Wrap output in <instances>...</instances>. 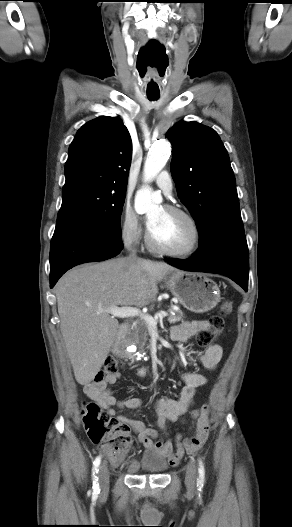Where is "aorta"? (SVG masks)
<instances>
[{
	"mask_svg": "<svg viewBox=\"0 0 292 527\" xmlns=\"http://www.w3.org/2000/svg\"><path fill=\"white\" fill-rule=\"evenodd\" d=\"M171 154L170 144L167 141H161L149 149L146 161L144 163V181L151 182L159 172L164 168ZM161 202V196L145 186L136 193L135 210L138 214L149 212Z\"/></svg>",
	"mask_w": 292,
	"mask_h": 527,
	"instance_id": "762f6f07",
	"label": "aorta"
}]
</instances>
